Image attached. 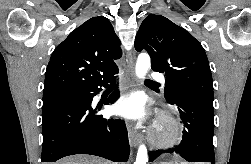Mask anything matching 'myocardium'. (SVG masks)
Returning <instances> with one entry per match:
<instances>
[{
  "instance_id": "f54148a6",
  "label": "myocardium",
  "mask_w": 251,
  "mask_h": 164,
  "mask_svg": "<svg viewBox=\"0 0 251 164\" xmlns=\"http://www.w3.org/2000/svg\"><path fill=\"white\" fill-rule=\"evenodd\" d=\"M181 137L182 130L178 120L172 114L164 112L150 136V142L154 147L165 149L178 144Z\"/></svg>"
}]
</instances>
